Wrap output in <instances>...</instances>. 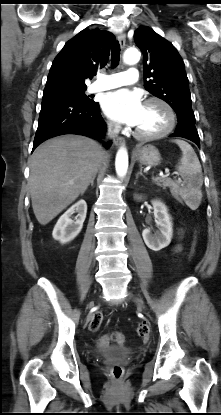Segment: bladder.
Masks as SVG:
<instances>
[{"label": "bladder", "mask_w": 221, "mask_h": 415, "mask_svg": "<svg viewBox=\"0 0 221 415\" xmlns=\"http://www.w3.org/2000/svg\"><path fill=\"white\" fill-rule=\"evenodd\" d=\"M100 352L109 358L118 360H124L132 354V351L129 348L115 346L104 348Z\"/></svg>", "instance_id": "31cf9c89"}]
</instances>
